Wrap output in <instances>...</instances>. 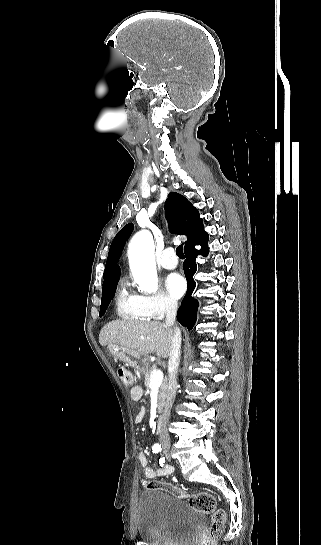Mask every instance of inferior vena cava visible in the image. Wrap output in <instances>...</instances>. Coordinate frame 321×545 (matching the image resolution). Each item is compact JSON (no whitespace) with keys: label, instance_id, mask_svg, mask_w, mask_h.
I'll return each instance as SVG.
<instances>
[{"label":"inferior vena cava","instance_id":"inferior-vena-cava-1","mask_svg":"<svg viewBox=\"0 0 321 545\" xmlns=\"http://www.w3.org/2000/svg\"><path fill=\"white\" fill-rule=\"evenodd\" d=\"M165 305H166L165 325L166 327H173L175 323V319H176V313H177V301H172V299H167ZM180 349H181V333H180V329L176 327L175 335L172 341V349L170 351V355L168 359L169 379H168L167 399L165 403V409L163 411V415L160 421L159 441L161 443V448L164 451H169L171 449L170 447L171 442L169 439V433H168L167 427H168V423L170 419L172 405L175 401V397L177 393V373H178V367L180 363Z\"/></svg>","mask_w":321,"mask_h":545}]
</instances>
